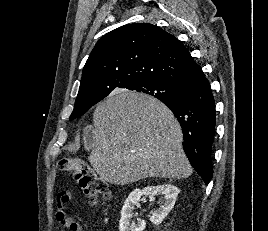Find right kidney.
Wrapping results in <instances>:
<instances>
[{
  "mask_svg": "<svg viewBox=\"0 0 268 231\" xmlns=\"http://www.w3.org/2000/svg\"><path fill=\"white\" fill-rule=\"evenodd\" d=\"M179 192L180 190L171 184L147 186L142 190L138 188L133 190L129 194L121 210L119 231H143L145 229L146 222L144 220H138L137 223L131 221V218L134 216L133 211L135 209V205L140 201L142 195H160L163 197V202L160 204L158 209L154 210L150 217V221L153 224L159 225L174 207Z\"/></svg>",
  "mask_w": 268,
  "mask_h": 231,
  "instance_id": "1",
  "label": "right kidney"
}]
</instances>
